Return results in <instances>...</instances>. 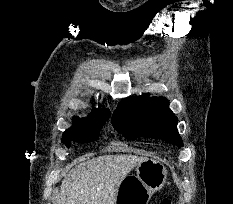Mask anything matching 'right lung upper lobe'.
Masks as SVG:
<instances>
[{
	"label": "right lung upper lobe",
	"instance_id": "1",
	"mask_svg": "<svg viewBox=\"0 0 233 204\" xmlns=\"http://www.w3.org/2000/svg\"><path fill=\"white\" fill-rule=\"evenodd\" d=\"M110 111L108 109H95L93 110V113L89 114L88 118H82L79 119L78 117H74L73 121L74 123H78L80 121H84V120H89V119H95V118H108Z\"/></svg>",
	"mask_w": 233,
	"mask_h": 204
}]
</instances>
